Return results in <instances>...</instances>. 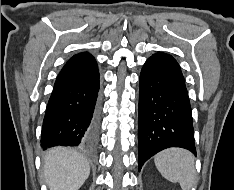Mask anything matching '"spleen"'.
<instances>
[{"label": "spleen", "instance_id": "1", "mask_svg": "<svg viewBox=\"0 0 234 190\" xmlns=\"http://www.w3.org/2000/svg\"><path fill=\"white\" fill-rule=\"evenodd\" d=\"M155 166L161 175L172 183L178 182L182 190H190L195 183L194 156L181 148L161 151L154 157Z\"/></svg>", "mask_w": 234, "mask_h": 190}]
</instances>
